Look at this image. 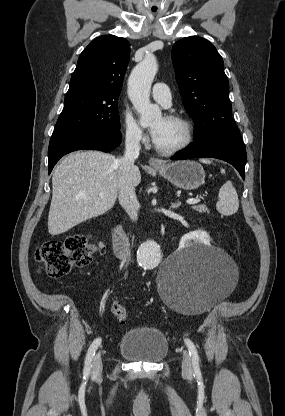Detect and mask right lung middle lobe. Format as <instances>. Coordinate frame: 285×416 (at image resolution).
<instances>
[{"mask_svg":"<svg viewBox=\"0 0 285 416\" xmlns=\"http://www.w3.org/2000/svg\"><path fill=\"white\" fill-rule=\"evenodd\" d=\"M118 97L80 98L66 95L55 130H98L120 132Z\"/></svg>","mask_w":285,"mask_h":416,"instance_id":"1","label":"right lung middle lobe"}]
</instances>
